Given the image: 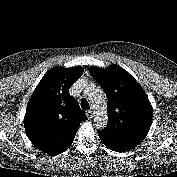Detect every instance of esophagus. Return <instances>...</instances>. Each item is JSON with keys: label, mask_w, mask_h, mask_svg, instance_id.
Instances as JSON below:
<instances>
[{"label": "esophagus", "mask_w": 177, "mask_h": 177, "mask_svg": "<svg viewBox=\"0 0 177 177\" xmlns=\"http://www.w3.org/2000/svg\"><path fill=\"white\" fill-rule=\"evenodd\" d=\"M86 115L89 119H91L94 116V112L92 110H87Z\"/></svg>", "instance_id": "obj_1"}]
</instances>
